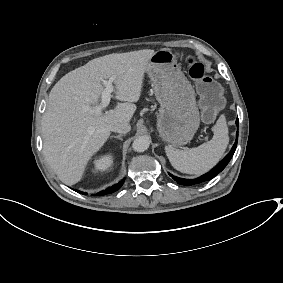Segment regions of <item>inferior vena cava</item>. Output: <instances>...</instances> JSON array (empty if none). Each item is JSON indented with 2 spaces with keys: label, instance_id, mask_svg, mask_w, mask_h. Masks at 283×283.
<instances>
[{
  "label": "inferior vena cava",
  "instance_id": "obj_1",
  "mask_svg": "<svg viewBox=\"0 0 283 283\" xmlns=\"http://www.w3.org/2000/svg\"><path fill=\"white\" fill-rule=\"evenodd\" d=\"M130 129H131V126L129 123L117 124L111 128L113 132H117V133H126V132H129Z\"/></svg>",
  "mask_w": 283,
  "mask_h": 283
}]
</instances>
